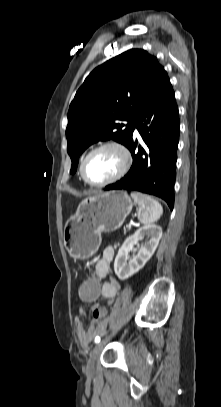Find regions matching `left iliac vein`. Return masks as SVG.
Segmentation results:
<instances>
[{"label": "left iliac vein", "mask_w": 221, "mask_h": 407, "mask_svg": "<svg viewBox=\"0 0 221 407\" xmlns=\"http://www.w3.org/2000/svg\"><path fill=\"white\" fill-rule=\"evenodd\" d=\"M105 342H98L93 350L90 352L89 360L87 362V367H86V375L87 377H92L95 373V363L96 360L100 354V352L103 349Z\"/></svg>", "instance_id": "1"}]
</instances>
